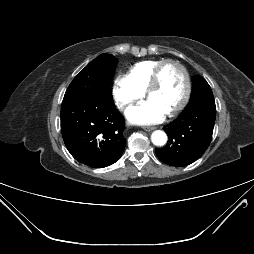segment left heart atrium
<instances>
[{
  "label": "left heart atrium",
  "mask_w": 254,
  "mask_h": 254,
  "mask_svg": "<svg viewBox=\"0 0 254 254\" xmlns=\"http://www.w3.org/2000/svg\"><path fill=\"white\" fill-rule=\"evenodd\" d=\"M167 112L153 100H147L126 111L127 119L136 124H153L164 119Z\"/></svg>",
  "instance_id": "left-heart-atrium-1"
}]
</instances>
